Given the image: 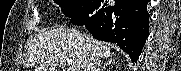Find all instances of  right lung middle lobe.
<instances>
[{
	"label": "right lung middle lobe",
	"mask_w": 181,
	"mask_h": 71,
	"mask_svg": "<svg viewBox=\"0 0 181 71\" xmlns=\"http://www.w3.org/2000/svg\"><path fill=\"white\" fill-rule=\"evenodd\" d=\"M67 17H76L94 7L98 0H53Z\"/></svg>",
	"instance_id": "obj_1"
}]
</instances>
